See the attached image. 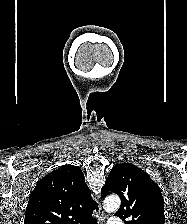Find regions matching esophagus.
Instances as JSON below:
<instances>
[{
    "label": "esophagus",
    "instance_id": "esophagus-1",
    "mask_svg": "<svg viewBox=\"0 0 187 224\" xmlns=\"http://www.w3.org/2000/svg\"><path fill=\"white\" fill-rule=\"evenodd\" d=\"M107 215L102 212L101 215L98 218V224H106Z\"/></svg>",
    "mask_w": 187,
    "mask_h": 224
}]
</instances>
